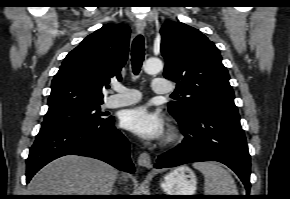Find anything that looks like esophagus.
I'll list each match as a JSON object with an SVG mask.
<instances>
[{"label": "esophagus", "mask_w": 290, "mask_h": 199, "mask_svg": "<svg viewBox=\"0 0 290 199\" xmlns=\"http://www.w3.org/2000/svg\"><path fill=\"white\" fill-rule=\"evenodd\" d=\"M145 26H146V24H145L144 20L136 19L135 27L139 33H143ZM137 162H138V165L141 167H145L148 169H150L152 167L151 158L147 152H142L139 155Z\"/></svg>", "instance_id": "1"}]
</instances>
